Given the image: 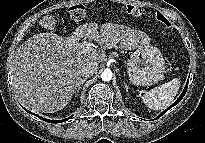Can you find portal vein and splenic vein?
Returning <instances> with one entry per match:
<instances>
[{"mask_svg": "<svg viewBox=\"0 0 205 143\" xmlns=\"http://www.w3.org/2000/svg\"><path fill=\"white\" fill-rule=\"evenodd\" d=\"M93 46V44L92 43H90V42H82L81 43V47H83L84 49H90L91 47Z\"/></svg>", "mask_w": 205, "mask_h": 143, "instance_id": "1", "label": "portal vein and splenic vein"}]
</instances>
